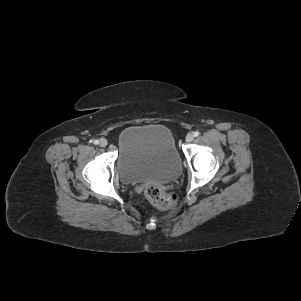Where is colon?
Returning <instances> with one entry per match:
<instances>
[{"label": "colon", "instance_id": "5ec220e1", "mask_svg": "<svg viewBox=\"0 0 301 301\" xmlns=\"http://www.w3.org/2000/svg\"><path fill=\"white\" fill-rule=\"evenodd\" d=\"M145 196L153 206L161 210L173 207L178 198L176 193H167L155 185L146 187Z\"/></svg>", "mask_w": 301, "mask_h": 301}]
</instances>
